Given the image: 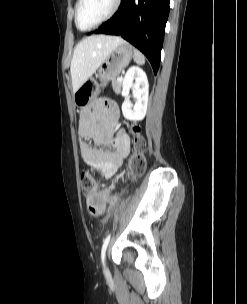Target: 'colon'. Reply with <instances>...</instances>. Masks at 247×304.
I'll return each mask as SVG.
<instances>
[{"label": "colon", "instance_id": "5ec220e1", "mask_svg": "<svg viewBox=\"0 0 247 304\" xmlns=\"http://www.w3.org/2000/svg\"><path fill=\"white\" fill-rule=\"evenodd\" d=\"M132 132L134 138V152L129 160L127 175L129 180L141 176L145 170V142L139 134L137 126H133ZM81 188L85 195H88V209L91 215L97 216L104 211L105 205L110 198L107 190L95 191L97 183L96 179L90 171H84L81 174ZM95 191V192H94Z\"/></svg>", "mask_w": 247, "mask_h": 304}]
</instances>
